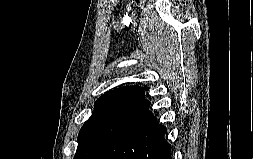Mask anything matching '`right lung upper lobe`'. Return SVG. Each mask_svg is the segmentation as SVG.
Wrapping results in <instances>:
<instances>
[{
	"mask_svg": "<svg viewBox=\"0 0 253 159\" xmlns=\"http://www.w3.org/2000/svg\"><path fill=\"white\" fill-rule=\"evenodd\" d=\"M110 98V97H117V98H127V99H134L139 101L149 102L145 100L144 90L139 86H125L121 88H117L113 91H109L106 94L102 95L100 98Z\"/></svg>",
	"mask_w": 253,
	"mask_h": 159,
	"instance_id": "right-lung-upper-lobe-1",
	"label": "right lung upper lobe"
}]
</instances>
